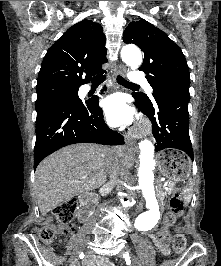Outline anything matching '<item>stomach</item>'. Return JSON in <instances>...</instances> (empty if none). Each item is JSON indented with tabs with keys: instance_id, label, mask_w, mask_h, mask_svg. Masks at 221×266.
Returning <instances> with one entry per match:
<instances>
[{
	"instance_id": "stomach-1",
	"label": "stomach",
	"mask_w": 221,
	"mask_h": 266,
	"mask_svg": "<svg viewBox=\"0 0 221 266\" xmlns=\"http://www.w3.org/2000/svg\"><path fill=\"white\" fill-rule=\"evenodd\" d=\"M158 169L168 180L175 183L185 181L191 173V163L184 153L172 149L157 155Z\"/></svg>"
}]
</instances>
